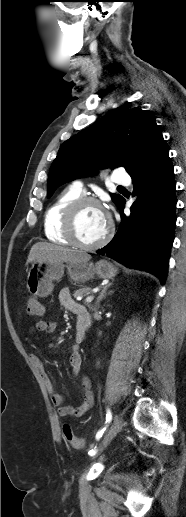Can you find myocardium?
Segmentation results:
<instances>
[{
  "label": "myocardium",
  "mask_w": 186,
  "mask_h": 517,
  "mask_svg": "<svg viewBox=\"0 0 186 517\" xmlns=\"http://www.w3.org/2000/svg\"><path fill=\"white\" fill-rule=\"evenodd\" d=\"M87 205H95L102 208L101 203L98 199L91 196H81L74 200L66 209L64 215V232L71 243L84 250L98 249L109 242L113 235V224L109 221L107 231L98 241L94 243H85L80 240L77 233V219L81 210Z\"/></svg>",
  "instance_id": "1"
}]
</instances>
